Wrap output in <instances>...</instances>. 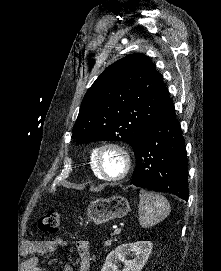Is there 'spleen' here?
Returning <instances> with one entry per match:
<instances>
[{"label": "spleen", "mask_w": 221, "mask_h": 271, "mask_svg": "<svg viewBox=\"0 0 221 271\" xmlns=\"http://www.w3.org/2000/svg\"><path fill=\"white\" fill-rule=\"evenodd\" d=\"M139 223L142 227H151L163 221L169 215L170 205L163 195L140 189Z\"/></svg>", "instance_id": "3e777b00"}]
</instances>
